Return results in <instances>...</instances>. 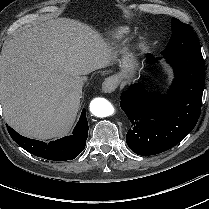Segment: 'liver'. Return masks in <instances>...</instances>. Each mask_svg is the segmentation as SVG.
<instances>
[{"mask_svg":"<svg viewBox=\"0 0 209 209\" xmlns=\"http://www.w3.org/2000/svg\"><path fill=\"white\" fill-rule=\"evenodd\" d=\"M101 34L82 22L57 18L19 29L0 55V103L20 134L47 140L68 134L80 106L78 79L111 65Z\"/></svg>","mask_w":209,"mask_h":209,"instance_id":"1","label":"liver"}]
</instances>
